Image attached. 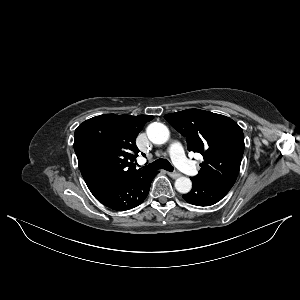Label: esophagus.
I'll return each mask as SVG.
<instances>
[{"mask_svg":"<svg viewBox=\"0 0 300 300\" xmlns=\"http://www.w3.org/2000/svg\"><path fill=\"white\" fill-rule=\"evenodd\" d=\"M168 175L173 179H176L181 176L180 173H176V172H168Z\"/></svg>","mask_w":300,"mask_h":300,"instance_id":"34e87169","label":"esophagus"}]
</instances>
